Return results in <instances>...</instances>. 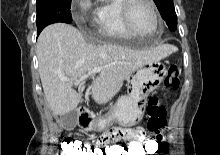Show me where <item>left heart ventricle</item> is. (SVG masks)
I'll return each mask as SVG.
<instances>
[{
  "instance_id": "1",
  "label": "left heart ventricle",
  "mask_w": 220,
  "mask_h": 155,
  "mask_svg": "<svg viewBox=\"0 0 220 155\" xmlns=\"http://www.w3.org/2000/svg\"><path fill=\"white\" fill-rule=\"evenodd\" d=\"M131 21L135 29L142 33H152L156 28L155 18L150 9L143 3L133 5Z\"/></svg>"
}]
</instances>
